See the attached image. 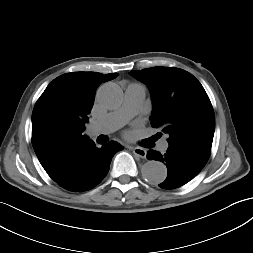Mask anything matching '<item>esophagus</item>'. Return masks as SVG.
<instances>
[{
  "mask_svg": "<svg viewBox=\"0 0 253 253\" xmlns=\"http://www.w3.org/2000/svg\"><path fill=\"white\" fill-rule=\"evenodd\" d=\"M132 151H133V153L136 156H138V157H140L142 159L146 158L147 152H146V150L144 148H142V147H134V148H132Z\"/></svg>",
  "mask_w": 253,
  "mask_h": 253,
  "instance_id": "34e87169",
  "label": "esophagus"
}]
</instances>
